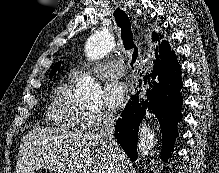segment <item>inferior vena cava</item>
<instances>
[{
	"mask_svg": "<svg viewBox=\"0 0 219 173\" xmlns=\"http://www.w3.org/2000/svg\"><path fill=\"white\" fill-rule=\"evenodd\" d=\"M98 136L107 144L109 149V173H117L118 171L116 168V164L119 147L114 140V115L110 110L105 111L103 115V120L100 125Z\"/></svg>",
	"mask_w": 219,
	"mask_h": 173,
	"instance_id": "1",
	"label": "inferior vena cava"
}]
</instances>
